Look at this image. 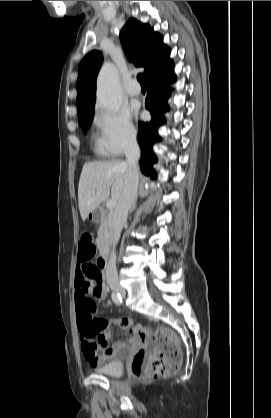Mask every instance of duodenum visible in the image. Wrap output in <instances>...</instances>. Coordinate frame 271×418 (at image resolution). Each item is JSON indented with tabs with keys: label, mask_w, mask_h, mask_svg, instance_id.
Instances as JSON below:
<instances>
[{
	"label": "duodenum",
	"mask_w": 271,
	"mask_h": 418,
	"mask_svg": "<svg viewBox=\"0 0 271 418\" xmlns=\"http://www.w3.org/2000/svg\"><path fill=\"white\" fill-rule=\"evenodd\" d=\"M102 213L99 211L94 212V220H100L102 218ZM108 264V251L106 249H103L100 257L98 258L97 265L102 267V273L104 274L107 269Z\"/></svg>",
	"instance_id": "1"
}]
</instances>
